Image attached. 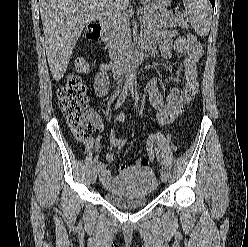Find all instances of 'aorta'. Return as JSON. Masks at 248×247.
<instances>
[{
    "label": "aorta",
    "instance_id": "762f6f07",
    "mask_svg": "<svg viewBox=\"0 0 248 247\" xmlns=\"http://www.w3.org/2000/svg\"><path fill=\"white\" fill-rule=\"evenodd\" d=\"M135 80V66L133 63L129 64V69L126 74V80H125V85L128 87L133 86Z\"/></svg>",
    "mask_w": 248,
    "mask_h": 247
}]
</instances>
